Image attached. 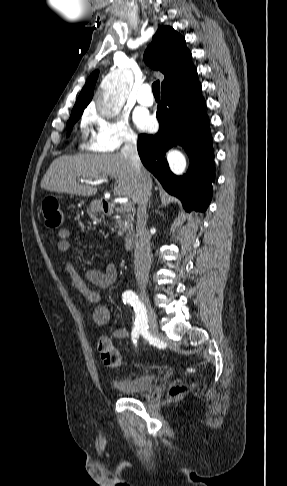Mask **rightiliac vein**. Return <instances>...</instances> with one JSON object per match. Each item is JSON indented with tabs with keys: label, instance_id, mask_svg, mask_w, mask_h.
Masks as SVG:
<instances>
[{
	"label": "right iliac vein",
	"instance_id": "63e3f726",
	"mask_svg": "<svg viewBox=\"0 0 287 486\" xmlns=\"http://www.w3.org/2000/svg\"><path fill=\"white\" fill-rule=\"evenodd\" d=\"M140 298L142 299L143 303L145 304V307L147 309V316H148V325H149V333L153 337H158L159 336V330L156 322V314L152 307L150 306L149 300L145 292L140 293Z\"/></svg>",
	"mask_w": 287,
	"mask_h": 486
}]
</instances>
